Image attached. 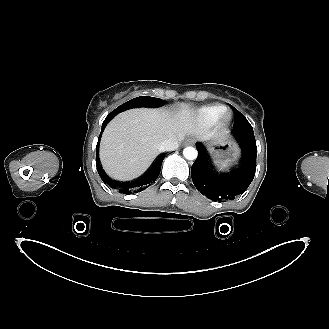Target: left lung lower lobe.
Wrapping results in <instances>:
<instances>
[{"mask_svg":"<svg viewBox=\"0 0 329 329\" xmlns=\"http://www.w3.org/2000/svg\"><path fill=\"white\" fill-rule=\"evenodd\" d=\"M232 135L243 153L238 168L229 173H217L202 145L197 147L198 157L191 167L192 181L197 190L214 201L235 199L246 191L255 175L257 146L252 126L234 128Z\"/></svg>","mask_w":329,"mask_h":329,"instance_id":"1","label":"left lung lower lobe"}]
</instances>
